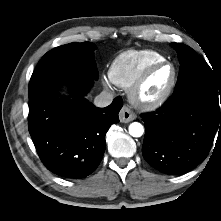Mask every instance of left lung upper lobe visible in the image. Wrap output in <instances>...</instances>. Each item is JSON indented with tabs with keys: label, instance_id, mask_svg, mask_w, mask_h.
Masks as SVG:
<instances>
[{
	"label": "left lung upper lobe",
	"instance_id": "5c2ea615",
	"mask_svg": "<svg viewBox=\"0 0 221 221\" xmlns=\"http://www.w3.org/2000/svg\"><path fill=\"white\" fill-rule=\"evenodd\" d=\"M171 46L177 51L180 62V72L174 91L196 87L221 97V77L213 73L189 46L182 43H171Z\"/></svg>",
	"mask_w": 221,
	"mask_h": 221
}]
</instances>
